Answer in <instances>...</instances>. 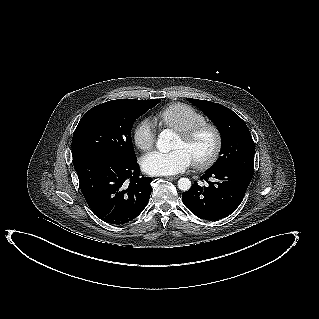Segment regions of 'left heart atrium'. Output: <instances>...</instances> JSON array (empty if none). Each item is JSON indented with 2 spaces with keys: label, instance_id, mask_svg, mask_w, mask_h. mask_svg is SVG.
<instances>
[{
  "label": "left heart atrium",
  "instance_id": "obj_1",
  "mask_svg": "<svg viewBox=\"0 0 319 319\" xmlns=\"http://www.w3.org/2000/svg\"><path fill=\"white\" fill-rule=\"evenodd\" d=\"M192 160L182 148L170 152L153 151L141 160L142 169L150 175H173L185 170Z\"/></svg>",
  "mask_w": 319,
  "mask_h": 319
}]
</instances>
